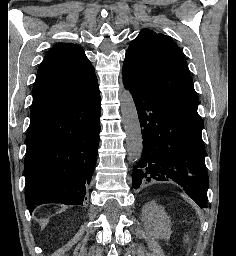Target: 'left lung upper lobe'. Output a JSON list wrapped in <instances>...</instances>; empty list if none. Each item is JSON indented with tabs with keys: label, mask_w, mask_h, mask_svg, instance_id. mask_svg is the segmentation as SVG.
<instances>
[{
	"label": "left lung upper lobe",
	"mask_w": 236,
	"mask_h": 256,
	"mask_svg": "<svg viewBox=\"0 0 236 256\" xmlns=\"http://www.w3.org/2000/svg\"><path fill=\"white\" fill-rule=\"evenodd\" d=\"M123 78L197 110L199 100L186 60L166 35L143 29L126 52Z\"/></svg>",
	"instance_id": "left-lung-upper-lobe-1"
}]
</instances>
